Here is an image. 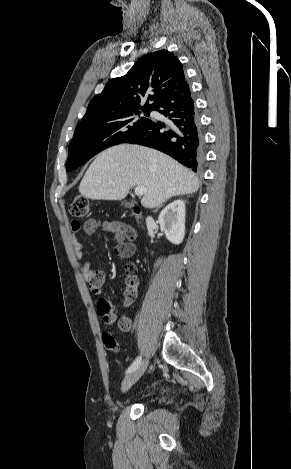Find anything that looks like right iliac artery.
<instances>
[{"label":"right iliac artery","instance_id":"1","mask_svg":"<svg viewBox=\"0 0 291 469\" xmlns=\"http://www.w3.org/2000/svg\"><path fill=\"white\" fill-rule=\"evenodd\" d=\"M141 359H142V357L138 356L136 358V360L131 364V366L127 369L126 373L128 374V373L134 371L140 365Z\"/></svg>","mask_w":291,"mask_h":469}]
</instances>
